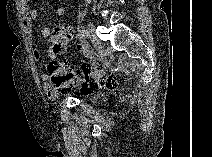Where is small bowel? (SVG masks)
I'll use <instances>...</instances> for the list:
<instances>
[{
	"label": "small bowel",
	"mask_w": 212,
	"mask_h": 157,
	"mask_svg": "<svg viewBox=\"0 0 212 157\" xmlns=\"http://www.w3.org/2000/svg\"><path fill=\"white\" fill-rule=\"evenodd\" d=\"M21 11H22V26L25 31V33L32 37L33 36V21L37 17V12L31 7V4L28 0H23L20 3ZM65 15V9L62 6H58L56 8V16L57 17H63ZM41 35L43 37H48L50 35V28L48 26H45L41 29ZM75 49L82 54H87L89 53V49L87 45L82 42L81 40H77L75 42ZM48 56L51 59L55 58V53L52 50V48H49L48 51ZM42 56V52L39 48H35L33 50V58L35 60H39ZM99 65V62H94L93 64H83L82 67L89 66L93 69H96ZM42 83H43V90L47 94V96L51 99H54L58 95V90L56 87H54L51 83V78L48 73H43L40 77Z\"/></svg>",
	"instance_id": "obj_1"
}]
</instances>
